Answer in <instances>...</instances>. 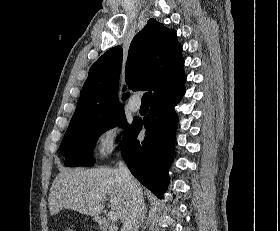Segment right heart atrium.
Here are the masks:
<instances>
[{
    "label": "right heart atrium",
    "mask_w": 280,
    "mask_h": 231,
    "mask_svg": "<svg viewBox=\"0 0 280 231\" xmlns=\"http://www.w3.org/2000/svg\"><path fill=\"white\" fill-rule=\"evenodd\" d=\"M96 145L99 159H106L122 148V128L117 120L108 121L101 128Z\"/></svg>",
    "instance_id": "right-heart-atrium-1"
}]
</instances>
